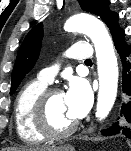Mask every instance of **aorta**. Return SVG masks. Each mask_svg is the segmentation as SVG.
Segmentation results:
<instances>
[{
    "mask_svg": "<svg viewBox=\"0 0 131 151\" xmlns=\"http://www.w3.org/2000/svg\"><path fill=\"white\" fill-rule=\"evenodd\" d=\"M66 31L86 34L93 42L98 68L99 91L96 117L105 119L110 113L117 96L118 64L113 42L104 24L88 14H77L67 20Z\"/></svg>",
    "mask_w": 131,
    "mask_h": 151,
    "instance_id": "obj_1",
    "label": "aorta"
}]
</instances>
